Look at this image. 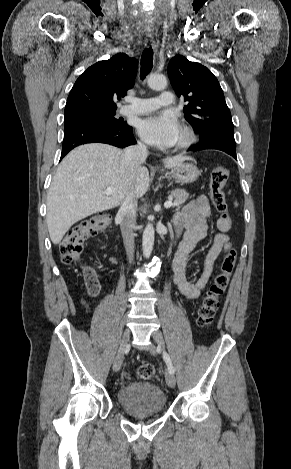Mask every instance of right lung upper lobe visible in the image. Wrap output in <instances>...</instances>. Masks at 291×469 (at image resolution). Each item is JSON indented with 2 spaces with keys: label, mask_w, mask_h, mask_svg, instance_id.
Instances as JSON below:
<instances>
[{
  "label": "right lung upper lobe",
  "mask_w": 291,
  "mask_h": 469,
  "mask_svg": "<svg viewBox=\"0 0 291 469\" xmlns=\"http://www.w3.org/2000/svg\"><path fill=\"white\" fill-rule=\"evenodd\" d=\"M136 71V59L125 53L90 66L71 89L65 115L95 109H117L115 100L132 88Z\"/></svg>",
  "instance_id": "obj_1"
}]
</instances>
